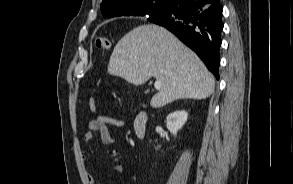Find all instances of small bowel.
Returning <instances> with one entry per match:
<instances>
[{
	"label": "small bowel",
	"mask_w": 293,
	"mask_h": 184,
	"mask_svg": "<svg viewBox=\"0 0 293 184\" xmlns=\"http://www.w3.org/2000/svg\"><path fill=\"white\" fill-rule=\"evenodd\" d=\"M109 126L113 127H123L125 126V121L115 117L114 115H102L97 116L89 122L88 131L83 135V140L85 143H91L94 138V133L98 132L101 141L105 145H110L114 143V137L112 136ZM83 158L88 162V157L86 153H83ZM113 169L117 173L125 172V167L122 164L114 165ZM133 179V176H131ZM86 179L89 184H102L96 181L94 176L87 172Z\"/></svg>",
	"instance_id": "1"
}]
</instances>
